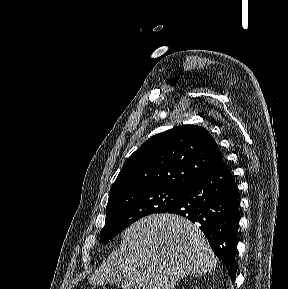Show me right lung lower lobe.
I'll return each instance as SVG.
<instances>
[{"label": "right lung lower lobe", "instance_id": "right-lung-lower-lobe-1", "mask_svg": "<svg viewBox=\"0 0 288 289\" xmlns=\"http://www.w3.org/2000/svg\"><path fill=\"white\" fill-rule=\"evenodd\" d=\"M238 211L236 182L222 160L193 180L178 203L167 212L184 216L200 225L212 250L234 280Z\"/></svg>", "mask_w": 288, "mask_h": 289}]
</instances>
